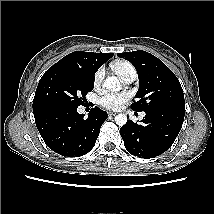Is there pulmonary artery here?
<instances>
[{
  "label": "pulmonary artery",
  "mask_w": 214,
  "mask_h": 214,
  "mask_svg": "<svg viewBox=\"0 0 214 214\" xmlns=\"http://www.w3.org/2000/svg\"><path fill=\"white\" fill-rule=\"evenodd\" d=\"M137 73L134 67H130L126 69L122 75H121V80L123 83L129 84L133 82L136 79ZM144 116V114H142Z\"/></svg>",
  "instance_id": "e3ab8cb5"
}]
</instances>
